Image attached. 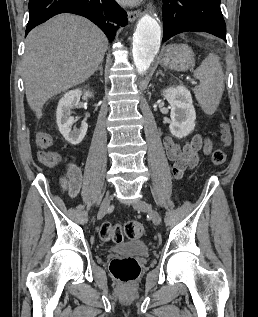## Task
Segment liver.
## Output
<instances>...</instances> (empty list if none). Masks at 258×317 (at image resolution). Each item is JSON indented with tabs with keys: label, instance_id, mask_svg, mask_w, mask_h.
Returning <instances> with one entry per match:
<instances>
[{
	"label": "liver",
	"instance_id": "1",
	"mask_svg": "<svg viewBox=\"0 0 258 317\" xmlns=\"http://www.w3.org/2000/svg\"><path fill=\"white\" fill-rule=\"evenodd\" d=\"M107 46L104 32L76 14H58L29 32L23 76L27 102L37 118L48 98L81 84L95 72Z\"/></svg>",
	"mask_w": 258,
	"mask_h": 317
}]
</instances>
